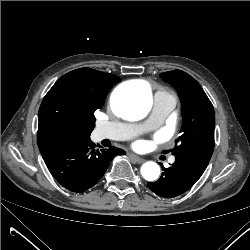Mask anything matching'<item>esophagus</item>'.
Segmentation results:
<instances>
[{
	"mask_svg": "<svg viewBox=\"0 0 250 250\" xmlns=\"http://www.w3.org/2000/svg\"><path fill=\"white\" fill-rule=\"evenodd\" d=\"M130 157L133 161H135L136 163H143L145 160L137 155L134 154H130Z\"/></svg>",
	"mask_w": 250,
	"mask_h": 250,
	"instance_id": "34e87169",
	"label": "esophagus"
}]
</instances>
